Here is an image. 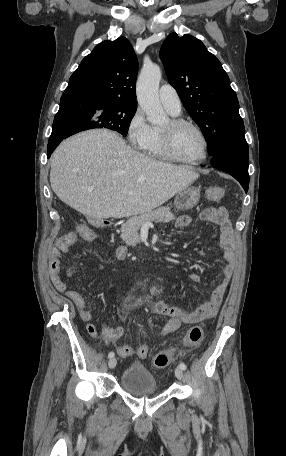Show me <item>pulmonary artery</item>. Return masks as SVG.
<instances>
[{"label": "pulmonary artery", "mask_w": 286, "mask_h": 456, "mask_svg": "<svg viewBox=\"0 0 286 456\" xmlns=\"http://www.w3.org/2000/svg\"><path fill=\"white\" fill-rule=\"evenodd\" d=\"M159 98L163 107L172 115H179L181 112V101L175 88L165 84L160 87Z\"/></svg>", "instance_id": "pulmonary-artery-1"}]
</instances>
